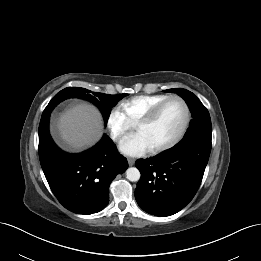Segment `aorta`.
Instances as JSON below:
<instances>
[{"label":"aorta","instance_id":"1","mask_svg":"<svg viewBox=\"0 0 261 261\" xmlns=\"http://www.w3.org/2000/svg\"><path fill=\"white\" fill-rule=\"evenodd\" d=\"M126 178L129 181L137 182L140 179V171L135 167H130L126 170Z\"/></svg>","mask_w":261,"mask_h":261}]
</instances>
